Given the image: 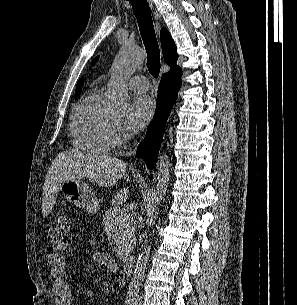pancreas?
<instances>
[{
	"label": "pancreas",
	"mask_w": 297,
	"mask_h": 305,
	"mask_svg": "<svg viewBox=\"0 0 297 305\" xmlns=\"http://www.w3.org/2000/svg\"><path fill=\"white\" fill-rule=\"evenodd\" d=\"M103 224L106 234L117 245L118 258L125 259L133 250L135 242V224L132 216L123 208L113 207L105 213Z\"/></svg>",
	"instance_id": "pancreas-1"
}]
</instances>
